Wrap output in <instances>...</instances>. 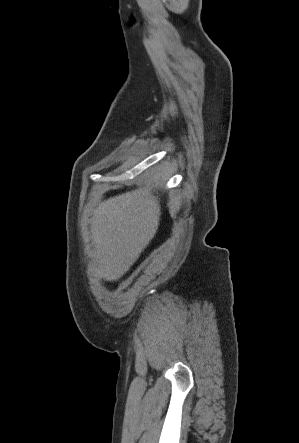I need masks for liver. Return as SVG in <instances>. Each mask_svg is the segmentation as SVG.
I'll list each match as a JSON object with an SVG mask.
<instances>
[{
  "label": "liver",
  "mask_w": 299,
  "mask_h": 443,
  "mask_svg": "<svg viewBox=\"0 0 299 443\" xmlns=\"http://www.w3.org/2000/svg\"><path fill=\"white\" fill-rule=\"evenodd\" d=\"M165 175L146 176L144 185L101 202L93 211V249L88 271L106 281L121 278L154 238L160 221V199L154 194Z\"/></svg>",
  "instance_id": "liver-1"
}]
</instances>
